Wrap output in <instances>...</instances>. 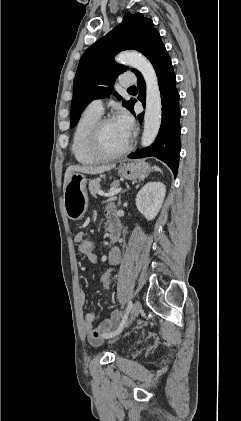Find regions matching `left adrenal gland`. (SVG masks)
<instances>
[{"mask_svg": "<svg viewBox=\"0 0 241 421\" xmlns=\"http://www.w3.org/2000/svg\"><path fill=\"white\" fill-rule=\"evenodd\" d=\"M130 189V187L129 186H127V188L125 189V190H123L120 194H119V198H118V206H120L121 205V197H122V194L123 193H125L126 191H128Z\"/></svg>", "mask_w": 241, "mask_h": 421, "instance_id": "left-adrenal-gland-1", "label": "left adrenal gland"}]
</instances>
